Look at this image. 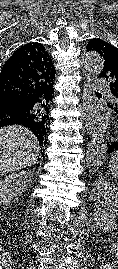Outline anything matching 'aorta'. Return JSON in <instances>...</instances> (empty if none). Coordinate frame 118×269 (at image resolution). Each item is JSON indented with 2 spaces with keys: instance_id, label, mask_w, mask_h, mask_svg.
<instances>
[{
  "instance_id": "aorta-1",
  "label": "aorta",
  "mask_w": 118,
  "mask_h": 269,
  "mask_svg": "<svg viewBox=\"0 0 118 269\" xmlns=\"http://www.w3.org/2000/svg\"><path fill=\"white\" fill-rule=\"evenodd\" d=\"M84 66L89 71L99 74L103 70L104 60L97 53H87L84 56ZM107 153V143L101 132H96L88 147L85 163L89 168L100 166Z\"/></svg>"
}]
</instances>
